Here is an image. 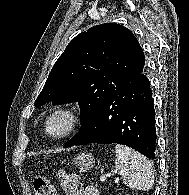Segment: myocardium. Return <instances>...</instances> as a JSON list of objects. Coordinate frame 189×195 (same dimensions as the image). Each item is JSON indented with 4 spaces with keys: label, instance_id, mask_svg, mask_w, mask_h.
Listing matches in <instances>:
<instances>
[{
    "label": "myocardium",
    "instance_id": "obj_1",
    "mask_svg": "<svg viewBox=\"0 0 189 195\" xmlns=\"http://www.w3.org/2000/svg\"><path fill=\"white\" fill-rule=\"evenodd\" d=\"M60 113H65L69 116L70 122L68 125V128L60 135H53L49 131V123L52 120L53 117ZM82 122V114L80 110L73 105L66 104V105H61L58 107H55L47 116L45 123H44V130L45 133L52 139L54 140H62L70 136L72 133H74L77 128L80 126Z\"/></svg>",
    "mask_w": 189,
    "mask_h": 195
}]
</instances>
